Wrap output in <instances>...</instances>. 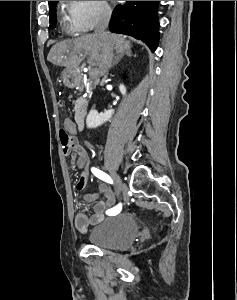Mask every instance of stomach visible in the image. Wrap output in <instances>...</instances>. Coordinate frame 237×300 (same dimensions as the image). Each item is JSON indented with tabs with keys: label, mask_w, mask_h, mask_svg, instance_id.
I'll use <instances>...</instances> for the list:
<instances>
[{
	"label": "stomach",
	"mask_w": 237,
	"mask_h": 300,
	"mask_svg": "<svg viewBox=\"0 0 237 300\" xmlns=\"http://www.w3.org/2000/svg\"><path fill=\"white\" fill-rule=\"evenodd\" d=\"M79 75H74V71H70V69H65L63 71V81H65L66 85H73L76 87ZM73 79V81H71Z\"/></svg>",
	"instance_id": "0dacf381"
}]
</instances>
